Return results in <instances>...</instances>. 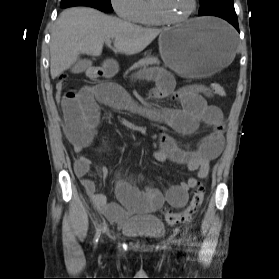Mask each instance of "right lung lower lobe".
Segmentation results:
<instances>
[{"instance_id": "1", "label": "right lung lower lobe", "mask_w": 279, "mask_h": 279, "mask_svg": "<svg viewBox=\"0 0 279 279\" xmlns=\"http://www.w3.org/2000/svg\"><path fill=\"white\" fill-rule=\"evenodd\" d=\"M72 6H89L101 11H105L95 0H62L61 7L67 8Z\"/></svg>"}]
</instances>
